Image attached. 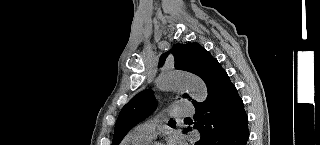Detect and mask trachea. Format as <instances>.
I'll list each match as a JSON object with an SVG mask.
<instances>
[{
    "label": "trachea",
    "mask_w": 320,
    "mask_h": 145,
    "mask_svg": "<svg viewBox=\"0 0 320 145\" xmlns=\"http://www.w3.org/2000/svg\"><path fill=\"white\" fill-rule=\"evenodd\" d=\"M185 119H191L190 117H187V118H185Z\"/></svg>",
    "instance_id": "obj_1"
}]
</instances>
